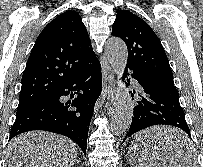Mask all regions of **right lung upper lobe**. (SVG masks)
<instances>
[{"instance_id": "1", "label": "right lung upper lobe", "mask_w": 203, "mask_h": 167, "mask_svg": "<svg viewBox=\"0 0 203 167\" xmlns=\"http://www.w3.org/2000/svg\"><path fill=\"white\" fill-rule=\"evenodd\" d=\"M95 60L80 15L69 10L57 16L36 39L23 72L18 106L48 100L72 75Z\"/></svg>"}]
</instances>
